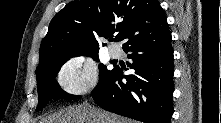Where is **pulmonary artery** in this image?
<instances>
[{
	"label": "pulmonary artery",
	"mask_w": 221,
	"mask_h": 123,
	"mask_svg": "<svg viewBox=\"0 0 221 123\" xmlns=\"http://www.w3.org/2000/svg\"><path fill=\"white\" fill-rule=\"evenodd\" d=\"M109 54L112 58H119L121 56V50L118 47L111 46L109 47Z\"/></svg>",
	"instance_id": "obj_1"
}]
</instances>
